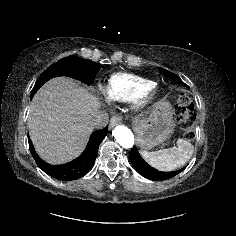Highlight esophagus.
<instances>
[{"label": "esophagus", "mask_w": 236, "mask_h": 236, "mask_svg": "<svg viewBox=\"0 0 236 236\" xmlns=\"http://www.w3.org/2000/svg\"><path fill=\"white\" fill-rule=\"evenodd\" d=\"M122 122V116L120 115H114L111 120H110V124L109 127L113 128L114 126L120 124Z\"/></svg>", "instance_id": "1"}]
</instances>
